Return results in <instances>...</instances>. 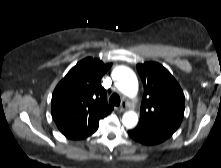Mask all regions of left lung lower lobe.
I'll list each match as a JSON object with an SVG mask.
<instances>
[{"label":"left lung lower lobe","mask_w":221,"mask_h":168,"mask_svg":"<svg viewBox=\"0 0 221 168\" xmlns=\"http://www.w3.org/2000/svg\"><path fill=\"white\" fill-rule=\"evenodd\" d=\"M129 136L135 141L145 145H155L165 141L167 138L153 132L134 128L128 131Z\"/></svg>","instance_id":"obj_1"}]
</instances>
